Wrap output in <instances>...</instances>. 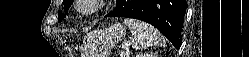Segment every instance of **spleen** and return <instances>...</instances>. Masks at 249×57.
<instances>
[{"label":"spleen","mask_w":249,"mask_h":57,"mask_svg":"<svg viewBox=\"0 0 249 57\" xmlns=\"http://www.w3.org/2000/svg\"><path fill=\"white\" fill-rule=\"evenodd\" d=\"M135 38L134 48L137 50L146 49L150 46H162L165 40L161 33L152 25L138 19L125 18L124 22Z\"/></svg>","instance_id":"1"}]
</instances>
